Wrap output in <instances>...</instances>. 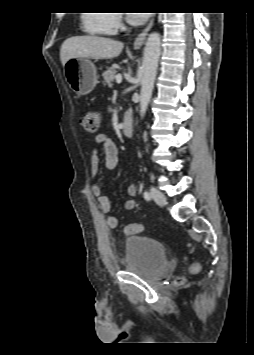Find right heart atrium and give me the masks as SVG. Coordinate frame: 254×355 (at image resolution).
<instances>
[{
  "mask_svg": "<svg viewBox=\"0 0 254 355\" xmlns=\"http://www.w3.org/2000/svg\"><path fill=\"white\" fill-rule=\"evenodd\" d=\"M107 21L113 32H116L123 27L122 14H120V12H110Z\"/></svg>",
  "mask_w": 254,
  "mask_h": 355,
  "instance_id": "obj_1",
  "label": "right heart atrium"
}]
</instances>
